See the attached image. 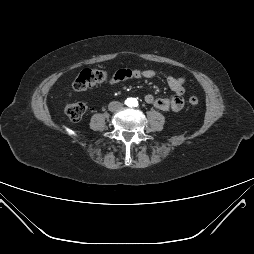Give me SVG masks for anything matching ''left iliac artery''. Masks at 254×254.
<instances>
[{
  "label": "left iliac artery",
  "mask_w": 254,
  "mask_h": 254,
  "mask_svg": "<svg viewBox=\"0 0 254 254\" xmlns=\"http://www.w3.org/2000/svg\"><path fill=\"white\" fill-rule=\"evenodd\" d=\"M134 104H135V106H137V105H138V102H135Z\"/></svg>",
  "instance_id": "1"
}]
</instances>
